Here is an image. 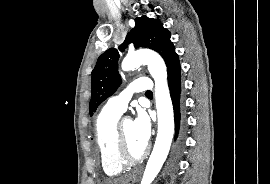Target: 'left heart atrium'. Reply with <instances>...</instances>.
I'll return each instance as SVG.
<instances>
[{"label":"left heart atrium","mask_w":270,"mask_h":184,"mask_svg":"<svg viewBox=\"0 0 270 184\" xmlns=\"http://www.w3.org/2000/svg\"><path fill=\"white\" fill-rule=\"evenodd\" d=\"M133 123L138 137L147 144L151 136V124L147 114L144 111H138Z\"/></svg>","instance_id":"obj_1"}]
</instances>
